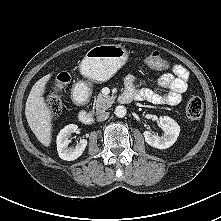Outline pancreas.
Listing matches in <instances>:
<instances>
[{
  "label": "pancreas",
  "instance_id": "pancreas-1",
  "mask_svg": "<svg viewBox=\"0 0 221 221\" xmlns=\"http://www.w3.org/2000/svg\"><path fill=\"white\" fill-rule=\"evenodd\" d=\"M114 100H115V97L113 96L111 97V96L99 93L94 101L96 111L99 113V112H103L107 110L111 106V104L114 102Z\"/></svg>",
  "mask_w": 221,
  "mask_h": 221
}]
</instances>
